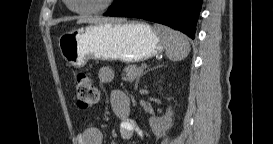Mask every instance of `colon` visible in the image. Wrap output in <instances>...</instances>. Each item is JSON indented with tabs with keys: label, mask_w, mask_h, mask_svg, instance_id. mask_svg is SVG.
Instances as JSON below:
<instances>
[{
	"label": "colon",
	"mask_w": 273,
	"mask_h": 144,
	"mask_svg": "<svg viewBox=\"0 0 273 144\" xmlns=\"http://www.w3.org/2000/svg\"><path fill=\"white\" fill-rule=\"evenodd\" d=\"M98 100L95 81L86 73L80 72L76 79V103L79 109L88 110Z\"/></svg>",
	"instance_id": "1"
}]
</instances>
